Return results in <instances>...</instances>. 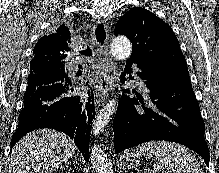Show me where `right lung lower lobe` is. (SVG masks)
<instances>
[{
	"instance_id": "1",
	"label": "right lung lower lobe",
	"mask_w": 219,
	"mask_h": 173,
	"mask_svg": "<svg viewBox=\"0 0 219 173\" xmlns=\"http://www.w3.org/2000/svg\"><path fill=\"white\" fill-rule=\"evenodd\" d=\"M77 91L64 67L42 66L31 70L11 148L34 129L54 128L74 139L88 161L90 128L95 116L93 94L83 100L77 96Z\"/></svg>"
}]
</instances>
